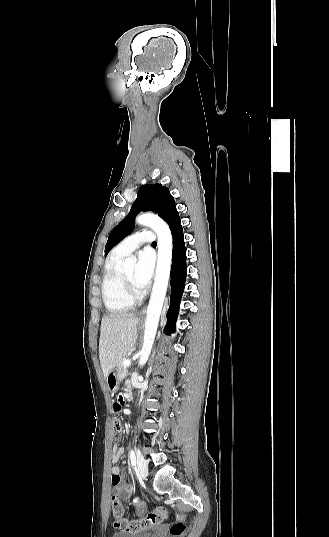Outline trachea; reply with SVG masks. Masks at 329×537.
Segmentation results:
<instances>
[{"label":"trachea","mask_w":329,"mask_h":537,"mask_svg":"<svg viewBox=\"0 0 329 537\" xmlns=\"http://www.w3.org/2000/svg\"><path fill=\"white\" fill-rule=\"evenodd\" d=\"M152 245H156V242H153Z\"/></svg>","instance_id":"1"}]
</instances>
